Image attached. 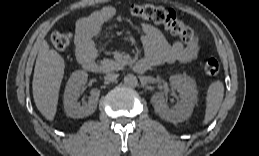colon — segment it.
<instances>
[{
  "label": "colon",
  "instance_id": "1",
  "mask_svg": "<svg viewBox=\"0 0 259 156\" xmlns=\"http://www.w3.org/2000/svg\"><path fill=\"white\" fill-rule=\"evenodd\" d=\"M130 13L133 16L142 17L163 24L171 31V33L180 36L184 42L189 43L196 39L195 31L186 26L172 9H166L164 7L146 3L131 6ZM72 38L73 34L70 31H57L51 34L50 41L56 50H64L70 45ZM204 70L209 76L216 75L219 72L218 61L214 58L209 59L205 63Z\"/></svg>",
  "mask_w": 259,
  "mask_h": 156
}]
</instances>
